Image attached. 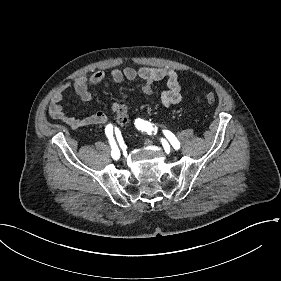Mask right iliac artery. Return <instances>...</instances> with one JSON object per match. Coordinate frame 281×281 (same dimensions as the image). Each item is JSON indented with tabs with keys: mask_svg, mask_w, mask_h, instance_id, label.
<instances>
[{
	"mask_svg": "<svg viewBox=\"0 0 281 281\" xmlns=\"http://www.w3.org/2000/svg\"><path fill=\"white\" fill-rule=\"evenodd\" d=\"M105 133H106V135L110 141V145L112 147V152H111L112 158L118 159L120 156V152H119L118 146L113 138V126L111 124H108L106 126Z\"/></svg>",
	"mask_w": 281,
	"mask_h": 281,
	"instance_id": "right-iliac-artery-1",
	"label": "right iliac artery"
}]
</instances>
